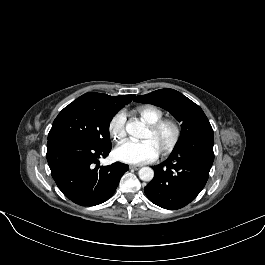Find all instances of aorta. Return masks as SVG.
<instances>
[{
  "instance_id": "762f6f07",
  "label": "aorta",
  "mask_w": 265,
  "mask_h": 265,
  "mask_svg": "<svg viewBox=\"0 0 265 265\" xmlns=\"http://www.w3.org/2000/svg\"><path fill=\"white\" fill-rule=\"evenodd\" d=\"M145 126L142 122L134 120L126 124V132L133 138H140L144 132ZM154 177V171L150 167H143L139 170V178L142 181L149 182Z\"/></svg>"
}]
</instances>
